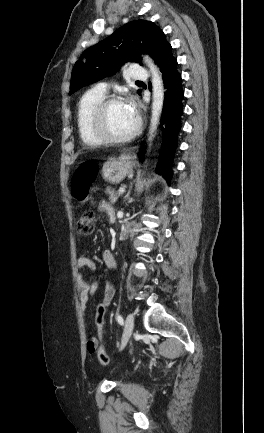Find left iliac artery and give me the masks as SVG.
Returning <instances> with one entry per match:
<instances>
[{"label": "left iliac artery", "mask_w": 264, "mask_h": 433, "mask_svg": "<svg viewBox=\"0 0 264 433\" xmlns=\"http://www.w3.org/2000/svg\"><path fill=\"white\" fill-rule=\"evenodd\" d=\"M117 321L119 324L123 325V317L121 315L117 316Z\"/></svg>", "instance_id": "obj_1"}]
</instances>
